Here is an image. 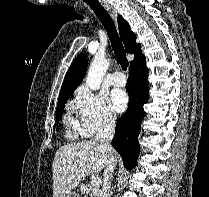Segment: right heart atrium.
<instances>
[{
    "label": "right heart atrium",
    "mask_w": 209,
    "mask_h": 197,
    "mask_svg": "<svg viewBox=\"0 0 209 197\" xmlns=\"http://www.w3.org/2000/svg\"><path fill=\"white\" fill-rule=\"evenodd\" d=\"M79 119L80 134L91 137L114 126L116 116L102 95L81 88L71 104Z\"/></svg>",
    "instance_id": "right-heart-atrium-1"
}]
</instances>
